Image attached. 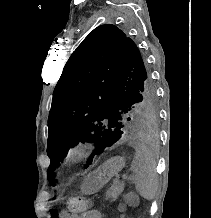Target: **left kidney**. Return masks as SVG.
<instances>
[{"mask_svg": "<svg viewBox=\"0 0 211 218\" xmlns=\"http://www.w3.org/2000/svg\"><path fill=\"white\" fill-rule=\"evenodd\" d=\"M116 215H131V210L128 207H123V202H116Z\"/></svg>", "mask_w": 211, "mask_h": 218, "instance_id": "1", "label": "left kidney"}]
</instances>
